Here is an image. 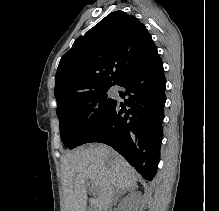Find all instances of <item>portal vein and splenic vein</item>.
<instances>
[{
	"instance_id": "1",
	"label": "portal vein and splenic vein",
	"mask_w": 219,
	"mask_h": 211,
	"mask_svg": "<svg viewBox=\"0 0 219 211\" xmlns=\"http://www.w3.org/2000/svg\"><path fill=\"white\" fill-rule=\"evenodd\" d=\"M97 191H98V187H94L93 193H97Z\"/></svg>"
}]
</instances>
